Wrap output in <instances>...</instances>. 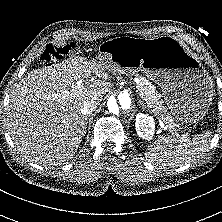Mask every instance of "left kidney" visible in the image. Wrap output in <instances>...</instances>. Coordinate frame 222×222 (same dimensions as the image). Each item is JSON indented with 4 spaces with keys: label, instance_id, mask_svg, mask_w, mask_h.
I'll list each match as a JSON object with an SVG mask.
<instances>
[{
    "label": "left kidney",
    "instance_id": "left-kidney-1",
    "mask_svg": "<svg viewBox=\"0 0 222 222\" xmlns=\"http://www.w3.org/2000/svg\"><path fill=\"white\" fill-rule=\"evenodd\" d=\"M135 127L139 137L145 140H151L154 135L155 122L153 117L143 113L136 115Z\"/></svg>",
    "mask_w": 222,
    "mask_h": 222
}]
</instances>
